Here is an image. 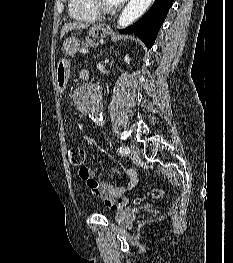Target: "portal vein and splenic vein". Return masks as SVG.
Returning a JSON list of instances; mask_svg holds the SVG:
<instances>
[{"mask_svg": "<svg viewBox=\"0 0 233 263\" xmlns=\"http://www.w3.org/2000/svg\"><path fill=\"white\" fill-rule=\"evenodd\" d=\"M81 52H82V53H87L88 51L85 50V49H82Z\"/></svg>", "mask_w": 233, "mask_h": 263, "instance_id": "portal-vein-and-splenic-vein-1", "label": "portal vein and splenic vein"}]
</instances>
